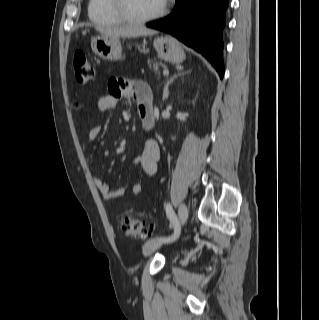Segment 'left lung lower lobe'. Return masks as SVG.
<instances>
[{
  "label": "left lung lower lobe",
  "mask_w": 319,
  "mask_h": 320,
  "mask_svg": "<svg viewBox=\"0 0 319 320\" xmlns=\"http://www.w3.org/2000/svg\"><path fill=\"white\" fill-rule=\"evenodd\" d=\"M229 0H176L172 13L147 27L176 37L204 55L224 76L222 31Z\"/></svg>",
  "instance_id": "0a47b994"
}]
</instances>
